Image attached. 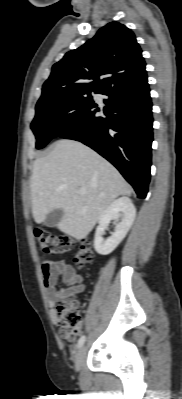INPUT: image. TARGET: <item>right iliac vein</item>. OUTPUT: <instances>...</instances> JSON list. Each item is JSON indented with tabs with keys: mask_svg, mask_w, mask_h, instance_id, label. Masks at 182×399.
<instances>
[{
	"mask_svg": "<svg viewBox=\"0 0 182 399\" xmlns=\"http://www.w3.org/2000/svg\"><path fill=\"white\" fill-rule=\"evenodd\" d=\"M87 349L85 346H82L76 353L75 357V367L76 370H80L84 364L85 357H86Z\"/></svg>",
	"mask_w": 182,
	"mask_h": 399,
	"instance_id": "obj_1",
	"label": "right iliac vein"
}]
</instances>
